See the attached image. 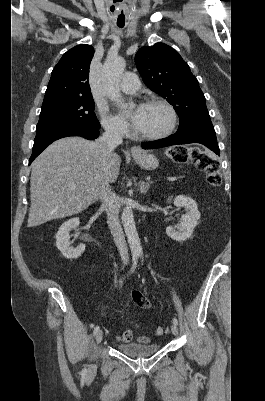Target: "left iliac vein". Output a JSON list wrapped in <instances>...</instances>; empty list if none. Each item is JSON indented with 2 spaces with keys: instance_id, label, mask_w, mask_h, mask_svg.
Returning <instances> with one entry per match:
<instances>
[{
  "instance_id": "obj_1",
  "label": "left iliac vein",
  "mask_w": 265,
  "mask_h": 401,
  "mask_svg": "<svg viewBox=\"0 0 265 401\" xmlns=\"http://www.w3.org/2000/svg\"><path fill=\"white\" fill-rule=\"evenodd\" d=\"M171 331H172V334L174 335V336H177L178 335V327H177V325L176 324H172L171 325Z\"/></svg>"
}]
</instances>
